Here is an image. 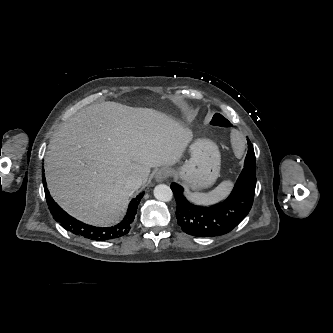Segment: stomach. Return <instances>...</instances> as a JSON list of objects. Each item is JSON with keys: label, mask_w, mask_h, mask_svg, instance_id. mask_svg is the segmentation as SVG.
Listing matches in <instances>:
<instances>
[{"label": "stomach", "mask_w": 333, "mask_h": 333, "mask_svg": "<svg viewBox=\"0 0 333 333\" xmlns=\"http://www.w3.org/2000/svg\"><path fill=\"white\" fill-rule=\"evenodd\" d=\"M191 157L173 174L194 190L211 186L219 177L220 152L209 139H197L189 147Z\"/></svg>", "instance_id": "obj_1"}]
</instances>
